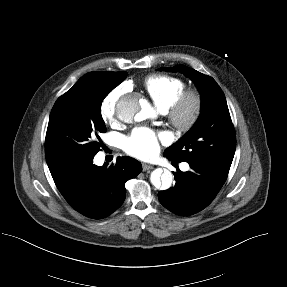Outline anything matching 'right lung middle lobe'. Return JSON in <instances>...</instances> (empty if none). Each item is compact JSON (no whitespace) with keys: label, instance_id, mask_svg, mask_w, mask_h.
I'll return each mask as SVG.
<instances>
[{"label":"right lung middle lobe","instance_id":"obj_1","mask_svg":"<svg viewBox=\"0 0 287 287\" xmlns=\"http://www.w3.org/2000/svg\"><path fill=\"white\" fill-rule=\"evenodd\" d=\"M117 85L99 72L81 77L57 99L49 117L45 156L50 171L64 170L94 157L100 133L107 131L101 103Z\"/></svg>","mask_w":287,"mask_h":287}]
</instances>
